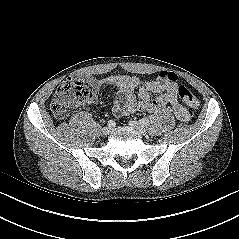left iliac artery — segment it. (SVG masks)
<instances>
[{"label": "left iliac artery", "instance_id": "obj_1", "mask_svg": "<svg viewBox=\"0 0 239 239\" xmlns=\"http://www.w3.org/2000/svg\"><path fill=\"white\" fill-rule=\"evenodd\" d=\"M139 121H140V124H142L144 126L149 125V120L147 118H142Z\"/></svg>", "mask_w": 239, "mask_h": 239}]
</instances>
